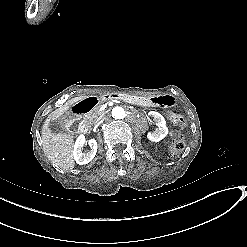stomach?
<instances>
[{
  "label": "stomach",
  "instance_id": "1",
  "mask_svg": "<svg viewBox=\"0 0 247 247\" xmlns=\"http://www.w3.org/2000/svg\"><path fill=\"white\" fill-rule=\"evenodd\" d=\"M141 103L146 106L172 108L176 107L177 101L173 95L161 94L149 98H143Z\"/></svg>",
  "mask_w": 247,
  "mask_h": 247
}]
</instances>
